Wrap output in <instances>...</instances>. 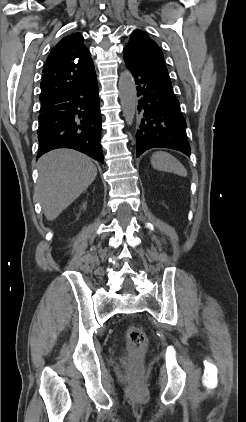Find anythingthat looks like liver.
I'll list each match as a JSON object with an SVG mask.
<instances>
[{
	"label": "liver",
	"instance_id": "obj_1",
	"mask_svg": "<svg viewBox=\"0 0 246 422\" xmlns=\"http://www.w3.org/2000/svg\"><path fill=\"white\" fill-rule=\"evenodd\" d=\"M35 188L47 220L56 219L95 180L97 168L86 155L71 149H57L38 161Z\"/></svg>",
	"mask_w": 246,
	"mask_h": 422
}]
</instances>
